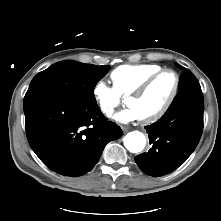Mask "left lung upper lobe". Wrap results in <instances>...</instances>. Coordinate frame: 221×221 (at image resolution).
<instances>
[{"mask_svg": "<svg viewBox=\"0 0 221 221\" xmlns=\"http://www.w3.org/2000/svg\"><path fill=\"white\" fill-rule=\"evenodd\" d=\"M177 66L180 67V68H183L182 66H180L178 64H177ZM194 84H198V81L192 73L187 72V73L183 74L182 77H181L180 84H179L180 91L176 95V97L174 98L172 103H174L181 96H183V93L187 92L189 90V87L191 85H194Z\"/></svg>", "mask_w": 221, "mask_h": 221, "instance_id": "5c2ea615", "label": "left lung upper lobe"}]
</instances>
